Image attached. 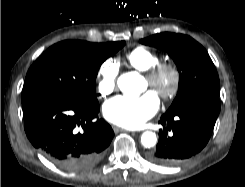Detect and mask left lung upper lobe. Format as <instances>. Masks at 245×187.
<instances>
[{
  "instance_id": "obj_1",
  "label": "left lung upper lobe",
  "mask_w": 245,
  "mask_h": 187,
  "mask_svg": "<svg viewBox=\"0 0 245 187\" xmlns=\"http://www.w3.org/2000/svg\"><path fill=\"white\" fill-rule=\"evenodd\" d=\"M145 45L167 51L179 71L178 93L165 114L205 98L219 97V77L207 51L187 35L160 33L141 39Z\"/></svg>"
}]
</instances>
